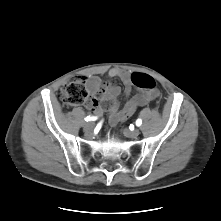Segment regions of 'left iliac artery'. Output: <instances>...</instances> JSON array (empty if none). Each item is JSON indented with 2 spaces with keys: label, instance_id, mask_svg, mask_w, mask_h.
Returning a JSON list of instances; mask_svg holds the SVG:
<instances>
[{
  "label": "left iliac artery",
  "instance_id": "left-iliac-artery-1",
  "mask_svg": "<svg viewBox=\"0 0 221 221\" xmlns=\"http://www.w3.org/2000/svg\"><path fill=\"white\" fill-rule=\"evenodd\" d=\"M142 124V120L141 119H138L137 121H136V125L137 126H140Z\"/></svg>",
  "mask_w": 221,
  "mask_h": 221
}]
</instances>
